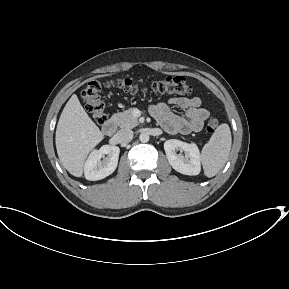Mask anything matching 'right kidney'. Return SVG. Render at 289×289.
<instances>
[{
  "label": "right kidney",
  "instance_id": "ca27d5eb",
  "mask_svg": "<svg viewBox=\"0 0 289 289\" xmlns=\"http://www.w3.org/2000/svg\"><path fill=\"white\" fill-rule=\"evenodd\" d=\"M119 153V147L111 145H103L99 150H94L84 164L85 178L97 181L112 174L117 168ZM101 158H104L103 161Z\"/></svg>",
  "mask_w": 289,
  "mask_h": 289
}]
</instances>
